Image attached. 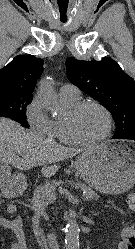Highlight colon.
<instances>
[{
  "instance_id": "1",
  "label": "colon",
  "mask_w": 135,
  "mask_h": 249,
  "mask_svg": "<svg viewBox=\"0 0 135 249\" xmlns=\"http://www.w3.org/2000/svg\"><path fill=\"white\" fill-rule=\"evenodd\" d=\"M127 204L135 212V193L128 195ZM119 249H135V224H131L123 230L119 241Z\"/></svg>"
}]
</instances>
